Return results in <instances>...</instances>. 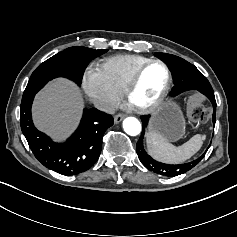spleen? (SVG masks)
<instances>
[{"label":"spleen","instance_id":"obj_1","mask_svg":"<svg viewBox=\"0 0 237 237\" xmlns=\"http://www.w3.org/2000/svg\"><path fill=\"white\" fill-rule=\"evenodd\" d=\"M146 139L148 152L156 159L168 163L183 162L190 158L202 144V137L197 134L184 144L175 146L157 130H150Z\"/></svg>","mask_w":237,"mask_h":237}]
</instances>
